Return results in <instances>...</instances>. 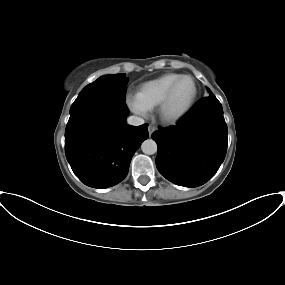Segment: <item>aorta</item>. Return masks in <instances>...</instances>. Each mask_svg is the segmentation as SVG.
Wrapping results in <instances>:
<instances>
[{
  "mask_svg": "<svg viewBox=\"0 0 285 285\" xmlns=\"http://www.w3.org/2000/svg\"><path fill=\"white\" fill-rule=\"evenodd\" d=\"M141 149L144 154L153 155L157 152V144L154 140L147 139L142 143Z\"/></svg>",
  "mask_w": 285,
  "mask_h": 285,
  "instance_id": "762f6f07",
  "label": "aorta"
}]
</instances>
